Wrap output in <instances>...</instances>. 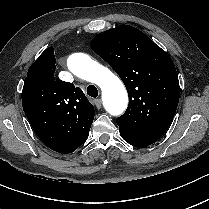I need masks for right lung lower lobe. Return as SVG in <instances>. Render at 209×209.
<instances>
[{"instance_id":"1","label":"right lung lower lobe","mask_w":209,"mask_h":209,"mask_svg":"<svg viewBox=\"0 0 209 209\" xmlns=\"http://www.w3.org/2000/svg\"><path fill=\"white\" fill-rule=\"evenodd\" d=\"M37 136L45 143L46 146H48L50 149L59 152V153H71L74 150L71 149L69 146H66L65 144L57 143L55 138H52L54 130L49 128H42L37 127L34 125H31Z\"/></svg>"}]
</instances>
